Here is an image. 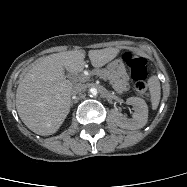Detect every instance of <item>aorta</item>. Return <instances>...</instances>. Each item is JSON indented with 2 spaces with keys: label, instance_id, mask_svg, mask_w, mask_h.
Wrapping results in <instances>:
<instances>
[{
  "label": "aorta",
  "instance_id": "762f6f07",
  "mask_svg": "<svg viewBox=\"0 0 187 187\" xmlns=\"http://www.w3.org/2000/svg\"><path fill=\"white\" fill-rule=\"evenodd\" d=\"M90 93L92 94V95H97V89L96 88H91L90 89Z\"/></svg>",
  "mask_w": 187,
  "mask_h": 187
}]
</instances>
